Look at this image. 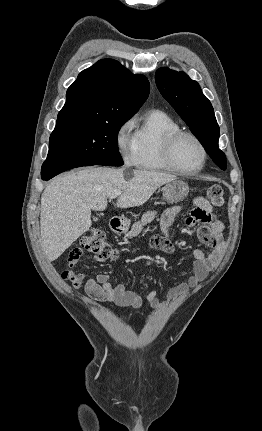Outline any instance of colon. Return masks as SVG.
<instances>
[{"label":"colon","mask_w":262,"mask_h":431,"mask_svg":"<svg viewBox=\"0 0 262 431\" xmlns=\"http://www.w3.org/2000/svg\"><path fill=\"white\" fill-rule=\"evenodd\" d=\"M206 197L211 206L221 208L224 204L223 189L218 184H211L206 190ZM166 243L164 237L155 235L151 238L153 247H158ZM91 253L96 259H110L115 253L114 248L105 239L104 233L96 228H92L90 232L81 238L79 246L68 258V269L63 272V278L67 281H73L79 278V275L74 271V267L79 264L80 255L82 252Z\"/></svg>","instance_id":"1"}]
</instances>
